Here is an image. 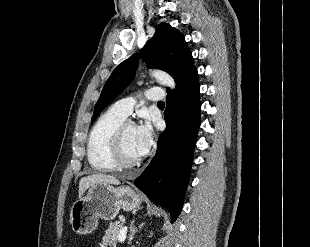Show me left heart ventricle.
Segmentation results:
<instances>
[{"label":"left heart ventricle","instance_id":"1","mask_svg":"<svg viewBox=\"0 0 310 247\" xmlns=\"http://www.w3.org/2000/svg\"><path fill=\"white\" fill-rule=\"evenodd\" d=\"M123 150L127 160H135L141 157L138 151L135 126L127 127L123 139Z\"/></svg>","mask_w":310,"mask_h":247}]
</instances>
